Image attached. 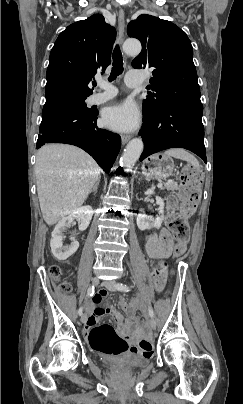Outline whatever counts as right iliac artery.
<instances>
[{
	"instance_id": "82829eb1",
	"label": "right iliac artery",
	"mask_w": 243,
	"mask_h": 404,
	"mask_svg": "<svg viewBox=\"0 0 243 404\" xmlns=\"http://www.w3.org/2000/svg\"><path fill=\"white\" fill-rule=\"evenodd\" d=\"M94 289H95L94 286H90V287L88 288L87 297L93 296V294H94ZM82 313H83V308L81 307V308L79 309V311H78V314H79V315H82Z\"/></svg>"
}]
</instances>
